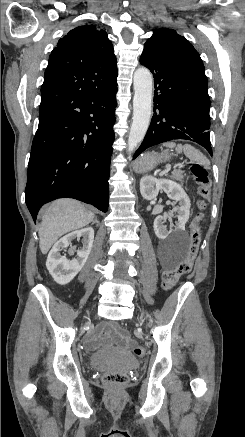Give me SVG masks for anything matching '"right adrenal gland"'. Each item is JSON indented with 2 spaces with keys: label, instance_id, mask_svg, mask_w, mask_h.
I'll return each instance as SVG.
<instances>
[{
  "label": "right adrenal gland",
  "instance_id": "right-adrenal-gland-1",
  "mask_svg": "<svg viewBox=\"0 0 245 437\" xmlns=\"http://www.w3.org/2000/svg\"><path fill=\"white\" fill-rule=\"evenodd\" d=\"M93 223H96L97 225H99V222H98L97 219H95V220L93 221Z\"/></svg>",
  "mask_w": 245,
  "mask_h": 437
}]
</instances>
